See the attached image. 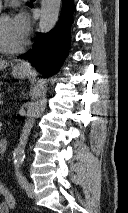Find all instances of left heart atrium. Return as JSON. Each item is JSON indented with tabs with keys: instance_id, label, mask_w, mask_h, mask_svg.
Here are the masks:
<instances>
[{
	"instance_id": "39dd6f15",
	"label": "left heart atrium",
	"mask_w": 128,
	"mask_h": 213,
	"mask_svg": "<svg viewBox=\"0 0 128 213\" xmlns=\"http://www.w3.org/2000/svg\"><path fill=\"white\" fill-rule=\"evenodd\" d=\"M11 21L17 38L23 43L28 36L30 28L28 15L24 11H19L14 15Z\"/></svg>"
}]
</instances>
